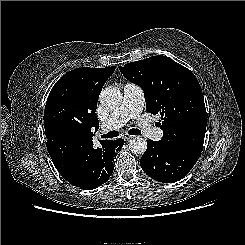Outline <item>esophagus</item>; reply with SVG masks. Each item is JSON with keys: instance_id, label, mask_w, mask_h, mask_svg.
Wrapping results in <instances>:
<instances>
[{"instance_id": "esophagus-1", "label": "esophagus", "mask_w": 245, "mask_h": 245, "mask_svg": "<svg viewBox=\"0 0 245 245\" xmlns=\"http://www.w3.org/2000/svg\"><path fill=\"white\" fill-rule=\"evenodd\" d=\"M134 136H132V135H128V134H123L122 135V139L124 140V141H128V140H130L131 138H133Z\"/></svg>"}]
</instances>
